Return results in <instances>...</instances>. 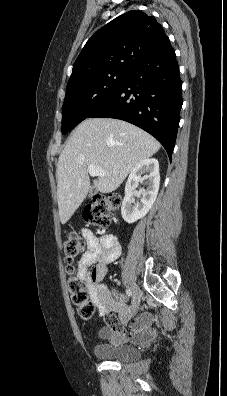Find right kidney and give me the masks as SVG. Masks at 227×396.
<instances>
[{
  "mask_svg": "<svg viewBox=\"0 0 227 396\" xmlns=\"http://www.w3.org/2000/svg\"><path fill=\"white\" fill-rule=\"evenodd\" d=\"M143 175V176H142ZM146 180V189H142L140 202H135V191L139 182ZM160 185L159 163L155 158L139 162L131 171L122 202L121 214L127 223H134L143 218L156 200Z\"/></svg>",
  "mask_w": 227,
  "mask_h": 396,
  "instance_id": "obj_1",
  "label": "right kidney"
}]
</instances>
